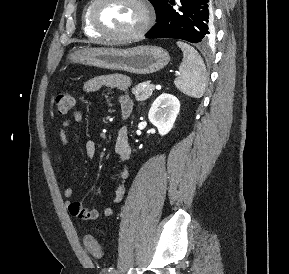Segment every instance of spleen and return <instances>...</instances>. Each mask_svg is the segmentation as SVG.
<instances>
[{
  "label": "spleen",
  "mask_w": 289,
  "mask_h": 274,
  "mask_svg": "<svg viewBox=\"0 0 289 274\" xmlns=\"http://www.w3.org/2000/svg\"><path fill=\"white\" fill-rule=\"evenodd\" d=\"M183 51V61L179 67L180 74L175 79V86L184 94L200 98L202 97L206 84V67L199 53L187 43L177 42Z\"/></svg>",
  "instance_id": "1"
}]
</instances>
